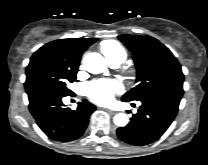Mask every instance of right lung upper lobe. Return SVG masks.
<instances>
[{
	"instance_id": "1",
	"label": "right lung upper lobe",
	"mask_w": 208,
	"mask_h": 165,
	"mask_svg": "<svg viewBox=\"0 0 208 165\" xmlns=\"http://www.w3.org/2000/svg\"><path fill=\"white\" fill-rule=\"evenodd\" d=\"M96 38H71V39H59L50 42L51 44L60 45L66 48L69 52L81 57L82 53L94 42Z\"/></svg>"
}]
</instances>
